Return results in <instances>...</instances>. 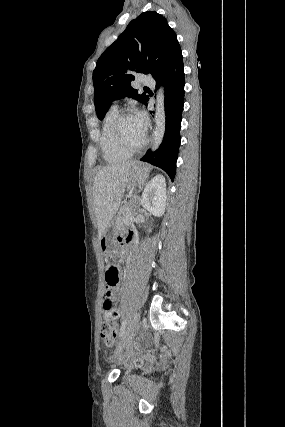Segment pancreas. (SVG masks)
Wrapping results in <instances>:
<instances>
[{"label":"pancreas","mask_w":285,"mask_h":427,"mask_svg":"<svg viewBox=\"0 0 285 427\" xmlns=\"http://www.w3.org/2000/svg\"><path fill=\"white\" fill-rule=\"evenodd\" d=\"M134 212H135V209L133 208L131 203H129L128 205L122 206L119 210V213L116 219V224L117 225L131 224L134 219Z\"/></svg>","instance_id":"1"}]
</instances>
